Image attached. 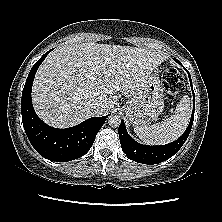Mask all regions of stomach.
Here are the masks:
<instances>
[{
  "label": "stomach",
  "instance_id": "stomach-1",
  "mask_svg": "<svg viewBox=\"0 0 222 222\" xmlns=\"http://www.w3.org/2000/svg\"><path fill=\"white\" fill-rule=\"evenodd\" d=\"M164 109L163 87L157 74L150 73L140 91L126 107V115L134 126L156 120Z\"/></svg>",
  "mask_w": 222,
  "mask_h": 222
}]
</instances>
